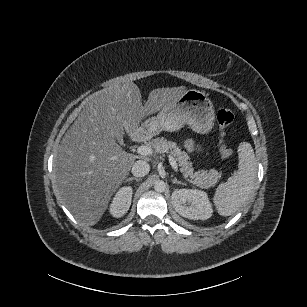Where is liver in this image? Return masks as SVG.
Listing matches in <instances>:
<instances>
[{"instance_id": "6515ba94", "label": "liver", "mask_w": 307, "mask_h": 307, "mask_svg": "<svg viewBox=\"0 0 307 307\" xmlns=\"http://www.w3.org/2000/svg\"><path fill=\"white\" fill-rule=\"evenodd\" d=\"M186 91L154 89L143 105L139 87L127 82L89 96L58 146L54 167L56 196L76 220L95 225L134 164L135 156L116 143V129L131 134L143 117L173 106Z\"/></svg>"}]
</instances>
